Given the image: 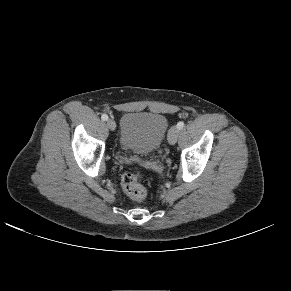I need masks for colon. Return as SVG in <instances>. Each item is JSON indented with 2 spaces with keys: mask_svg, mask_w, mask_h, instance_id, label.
<instances>
[{
  "mask_svg": "<svg viewBox=\"0 0 291 291\" xmlns=\"http://www.w3.org/2000/svg\"><path fill=\"white\" fill-rule=\"evenodd\" d=\"M142 175L139 171L129 172L123 175L122 189L132 200L140 202L147 196V190L141 182Z\"/></svg>",
  "mask_w": 291,
  "mask_h": 291,
  "instance_id": "colon-1",
  "label": "colon"
}]
</instances>
